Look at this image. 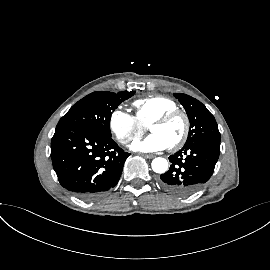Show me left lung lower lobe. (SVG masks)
Returning <instances> with one entry per match:
<instances>
[{
  "label": "left lung lower lobe",
  "instance_id": "left-lung-lower-lobe-1",
  "mask_svg": "<svg viewBox=\"0 0 270 270\" xmlns=\"http://www.w3.org/2000/svg\"><path fill=\"white\" fill-rule=\"evenodd\" d=\"M220 154V142L198 140L169 157V170L160 175L159 184L167 191L190 195L210 179Z\"/></svg>",
  "mask_w": 270,
  "mask_h": 270
}]
</instances>
